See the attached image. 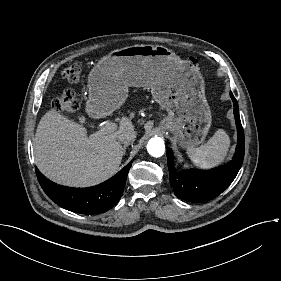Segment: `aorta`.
I'll use <instances>...</instances> for the list:
<instances>
[{"label": "aorta", "mask_w": 281, "mask_h": 281, "mask_svg": "<svg viewBox=\"0 0 281 281\" xmlns=\"http://www.w3.org/2000/svg\"><path fill=\"white\" fill-rule=\"evenodd\" d=\"M147 151L153 157H161L165 152V145L162 138H151L147 144Z\"/></svg>", "instance_id": "aorta-1"}]
</instances>
